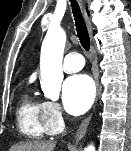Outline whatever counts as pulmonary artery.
Returning <instances> with one entry per match:
<instances>
[{
  "label": "pulmonary artery",
  "mask_w": 131,
  "mask_h": 151,
  "mask_svg": "<svg viewBox=\"0 0 131 151\" xmlns=\"http://www.w3.org/2000/svg\"><path fill=\"white\" fill-rule=\"evenodd\" d=\"M84 66V59L77 52L68 53L63 60V70L66 73H75L81 70Z\"/></svg>",
  "instance_id": "1"
}]
</instances>
